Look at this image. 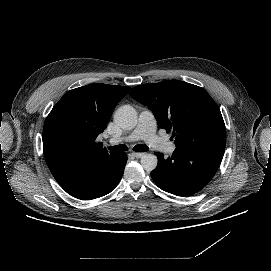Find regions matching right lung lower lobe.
<instances>
[{"label":"right lung lower lobe","instance_id":"obj_1","mask_svg":"<svg viewBox=\"0 0 271 271\" xmlns=\"http://www.w3.org/2000/svg\"><path fill=\"white\" fill-rule=\"evenodd\" d=\"M126 162L127 154L125 153L90 160L74 169L58 183L68 194L77 199L99 198L116 188L123 175Z\"/></svg>","mask_w":271,"mask_h":271}]
</instances>
